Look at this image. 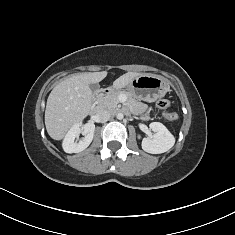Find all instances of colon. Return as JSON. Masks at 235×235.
<instances>
[{"label":"colon","mask_w":235,"mask_h":235,"mask_svg":"<svg viewBox=\"0 0 235 235\" xmlns=\"http://www.w3.org/2000/svg\"><path fill=\"white\" fill-rule=\"evenodd\" d=\"M156 106L170 121L174 122L177 120V115L175 113L170 112L171 102L169 100H159Z\"/></svg>","instance_id":"1"}]
</instances>
